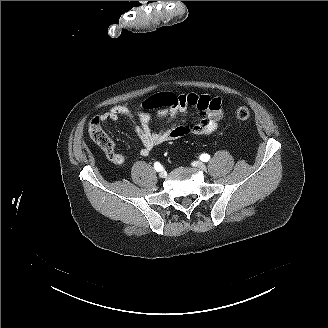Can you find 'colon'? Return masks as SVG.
Listing matches in <instances>:
<instances>
[{
  "label": "colon",
  "mask_w": 328,
  "mask_h": 328,
  "mask_svg": "<svg viewBox=\"0 0 328 328\" xmlns=\"http://www.w3.org/2000/svg\"><path fill=\"white\" fill-rule=\"evenodd\" d=\"M179 103V96L171 92H162L152 95L141 103L143 109H155L169 106H175ZM250 111L247 107H239L236 110V118L240 121L249 119ZM89 134L96 145L104 152H110L114 149L111 138L105 133L101 126L99 116H95L89 123Z\"/></svg>",
  "instance_id": "colon-1"
}]
</instances>
